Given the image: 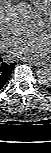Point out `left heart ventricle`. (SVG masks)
Here are the masks:
<instances>
[{
	"mask_svg": "<svg viewBox=\"0 0 51 153\" xmlns=\"http://www.w3.org/2000/svg\"><path fill=\"white\" fill-rule=\"evenodd\" d=\"M47 26V23H46V21L44 20L43 21V27H46Z\"/></svg>",
	"mask_w": 51,
	"mask_h": 153,
	"instance_id": "b2bd125f",
	"label": "left heart ventricle"
}]
</instances>
